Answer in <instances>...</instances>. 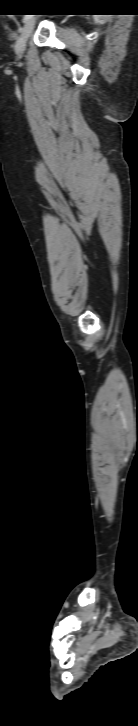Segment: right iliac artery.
Here are the masks:
<instances>
[{"instance_id":"82829eb1","label":"right iliac artery","mask_w":138,"mask_h":726,"mask_svg":"<svg viewBox=\"0 0 138 726\" xmlns=\"http://www.w3.org/2000/svg\"><path fill=\"white\" fill-rule=\"evenodd\" d=\"M30 18H31V17H30L29 15L25 16V17L23 18V22H26V21H27V20H29Z\"/></svg>"}]
</instances>
